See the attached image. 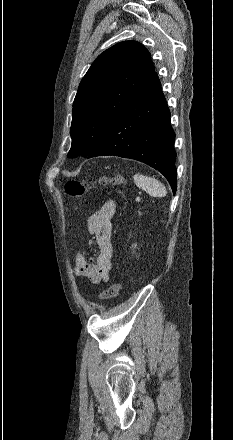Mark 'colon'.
I'll return each instance as SVG.
<instances>
[{
	"instance_id": "1",
	"label": "colon",
	"mask_w": 233,
	"mask_h": 440,
	"mask_svg": "<svg viewBox=\"0 0 233 440\" xmlns=\"http://www.w3.org/2000/svg\"><path fill=\"white\" fill-rule=\"evenodd\" d=\"M124 183H126V177L123 174L112 176L105 175L94 180H68L64 185V190L69 197L77 198L97 186L118 185ZM120 288L121 283L119 281L114 282L100 294L99 299L101 301H106L116 297Z\"/></svg>"
}]
</instances>
